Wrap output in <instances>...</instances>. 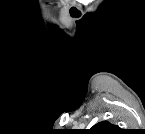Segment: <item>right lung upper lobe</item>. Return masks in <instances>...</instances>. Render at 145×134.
I'll return each instance as SVG.
<instances>
[{
    "label": "right lung upper lobe",
    "mask_w": 145,
    "mask_h": 134,
    "mask_svg": "<svg viewBox=\"0 0 145 134\" xmlns=\"http://www.w3.org/2000/svg\"><path fill=\"white\" fill-rule=\"evenodd\" d=\"M120 129L118 126L109 123L108 121H102L94 125L89 132L92 134H115Z\"/></svg>",
    "instance_id": "right-lung-upper-lobe-1"
}]
</instances>
